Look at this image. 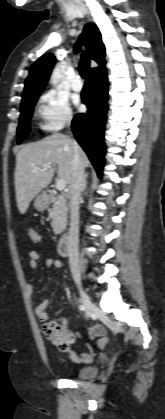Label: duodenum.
I'll return each mask as SVG.
<instances>
[{"mask_svg":"<svg viewBox=\"0 0 165 419\" xmlns=\"http://www.w3.org/2000/svg\"><path fill=\"white\" fill-rule=\"evenodd\" d=\"M52 196H53V192L47 191L46 193H44L43 198L46 200H51ZM68 242H69L68 234L64 232L58 241V252L61 256L68 255V249H69Z\"/></svg>","mask_w":165,"mask_h":419,"instance_id":"obj_1","label":"duodenum"}]
</instances>
